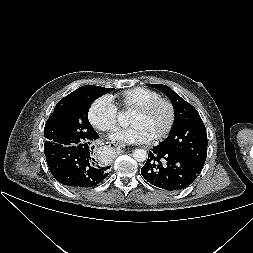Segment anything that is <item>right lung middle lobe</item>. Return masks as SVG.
<instances>
[{
	"mask_svg": "<svg viewBox=\"0 0 253 253\" xmlns=\"http://www.w3.org/2000/svg\"><path fill=\"white\" fill-rule=\"evenodd\" d=\"M112 90L86 85L61 99L45 124V155L92 140L95 130L88 120L89 108L96 98Z\"/></svg>",
	"mask_w": 253,
	"mask_h": 253,
	"instance_id": "dd1d6c3e",
	"label": "right lung middle lobe"
}]
</instances>
